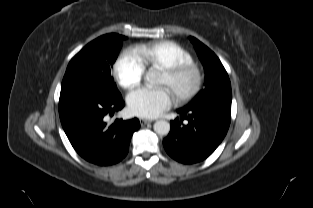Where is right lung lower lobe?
Segmentation results:
<instances>
[{
    "instance_id": "obj_1",
    "label": "right lung lower lobe",
    "mask_w": 313,
    "mask_h": 208,
    "mask_svg": "<svg viewBox=\"0 0 313 208\" xmlns=\"http://www.w3.org/2000/svg\"><path fill=\"white\" fill-rule=\"evenodd\" d=\"M121 95L110 96L98 86L81 79L63 80L59 100L62 127L76 152L97 165H111L128 153L133 133L139 129L137 118L116 119L107 125V114L121 110Z\"/></svg>"
}]
</instances>
